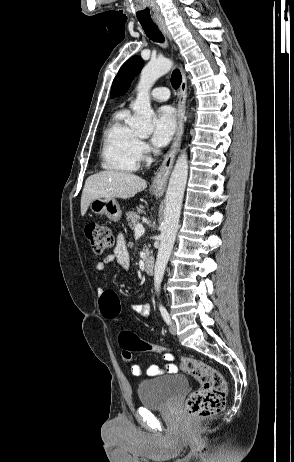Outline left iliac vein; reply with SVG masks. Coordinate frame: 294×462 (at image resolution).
I'll return each instance as SVG.
<instances>
[{
    "mask_svg": "<svg viewBox=\"0 0 294 462\" xmlns=\"http://www.w3.org/2000/svg\"><path fill=\"white\" fill-rule=\"evenodd\" d=\"M169 331L172 335H176L177 333V327H176V323L175 322H172L170 327H169Z\"/></svg>",
    "mask_w": 294,
    "mask_h": 462,
    "instance_id": "obj_1",
    "label": "left iliac vein"
}]
</instances>
